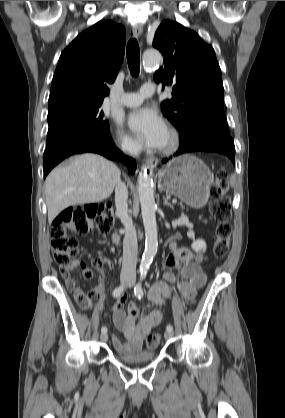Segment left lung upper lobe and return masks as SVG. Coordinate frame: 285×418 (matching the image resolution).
<instances>
[{"mask_svg":"<svg viewBox=\"0 0 285 418\" xmlns=\"http://www.w3.org/2000/svg\"><path fill=\"white\" fill-rule=\"evenodd\" d=\"M153 46L164 58L154 80L173 88L172 99L161 103L162 111L179 131L180 144L207 133L229 136L221 70L212 46L169 20L158 27Z\"/></svg>","mask_w":285,"mask_h":418,"instance_id":"left-lung-upper-lobe-1","label":"left lung upper lobe"}]
</instances>
